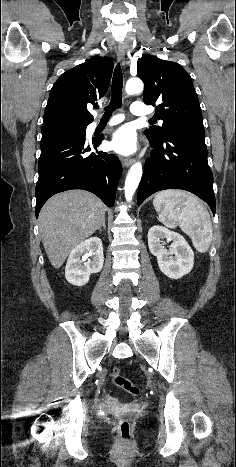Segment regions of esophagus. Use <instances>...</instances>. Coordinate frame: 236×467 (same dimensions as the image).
<instances>
[{"label": "esophagus", "mask_w": 236, "mask_h": 467, "mask_svg": "<svg viewBox=\"0 0 236 467\" xmlns=\"http://www.w3.org/2000/svg\"><path fill=\"white\" fill-rule=\"evenodd\" d=\"M116 55L118 61L124 66L125 65V50L122 45H118L116 49ZM133 163L132 158H123L122 159V164L124 167H129Z\"/></svg>", "instance_id": "esophagus-1"}]
</instances>
